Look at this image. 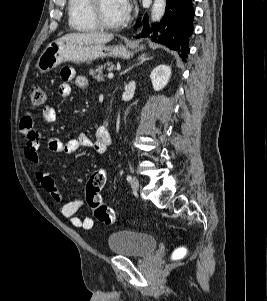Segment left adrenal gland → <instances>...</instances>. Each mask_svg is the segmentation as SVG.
Here are the masks:
<instances>
[{
    "label": "left adrenal gland",
    "instance_id": "a2214340",
    "mask_svg": "<svg viewBox=\"0 0 267 301\" xmlns=\"http://www.w3.org/2000/svg\"><path fill=\"white\" fill-rule=\"evenodd\" d=\"M151 59H152V57H148L147 55L143 54V55L139 56V58H138L139 62L137 64L130 66L128 69L123 71L121 74H125L129 70H131L134 66L140 65V64L144 63L145 61H148V60H151Z\"/></svg>",
    "mask_w": 267,
    "mask_h": 301
}]
</instances>
